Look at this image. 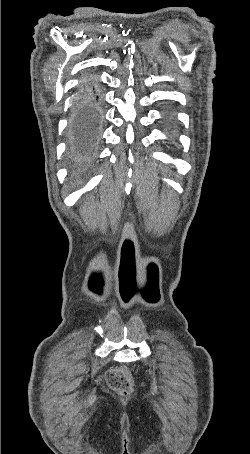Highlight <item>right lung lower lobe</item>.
<instances>
[{
	"label": "right lung lower lobe",
	"instance_id": "obj_1",
	"mask_svg": "<svg viewBox=\"0 0 250 454\" xmlns=\"http://www.w3.org/2000/svg\"><path fill=\"white\" fill-rule=\"evenodd\" d=\"M103 120V98L99 82L93 74H86L78 86L70 119L71 129L83 145H96L101 138Z\"/></svg>",
	"mask_w": 250,
	"mask_h": 454
}]
</instances>
